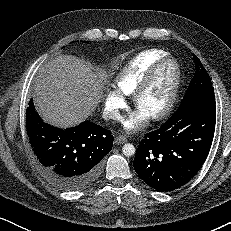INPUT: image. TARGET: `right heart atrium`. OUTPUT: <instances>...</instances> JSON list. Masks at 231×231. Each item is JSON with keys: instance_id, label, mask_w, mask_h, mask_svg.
Returning a JSON list of instances; mask_svg holds the SVG:
<instances>
[{"instance_id": "d8ad5b80", "label": "right heart atrium", "mask_w": 231, "mask_h": 231, "mask_svg": "<svg viewBox=\"0 0 231 231\" xmlns=\"http://www.w3.org/2000/svg\"><path fill=\"white\" fill-rule=\"evenodd\" d=\"M126 97L117 88H109L104 95L105 115L113 120L121 118V110L126 107Z\"/></svg>"}]
</instances>
